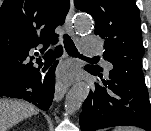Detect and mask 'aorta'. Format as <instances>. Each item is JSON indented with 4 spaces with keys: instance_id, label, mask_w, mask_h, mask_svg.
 I'll use <instances>...</instances> for the list:
<instances>
[{
    "instance_id": "obj_1",
    "label": "aorta",
    "mask_w": 151,
    "mask_h": 131,
    "mask_svg": "<svg viewBox=\"0 0 151 131\" xmlns=\"http://www.w3.org/2000/svg\"><path fill=\"white\" fill-rule=\"evenodd\" d=\"M74 28L78 33H88L92 30V22L86 14L79 15L75 22ZM90 85L86 82H80L74 85L66 95L65 110L72 113L80 109L84 100L88 97Z\"/></svg>"
}]
</instances>
